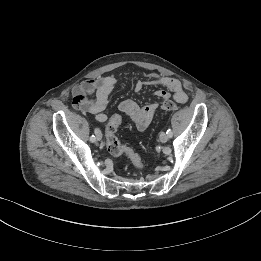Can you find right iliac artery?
Returning <instances> with one entry per match:
<instances>
[{"label":"right iliac artery","instance_id":"right-iliac-artery-1","mask_svg":"<svg viewBox=\"0 0 261 261\" xmlns=\"http://www.w3.org/2000/svg\"><path fill=\"white\" fill-rule=\"evenodd\" d=\"M96 131H97V129L95 130V132H96ZM95 140H96L95 136L92 135V136L90 137V141H91V142H95Z\"/></svg>","mask_w":261,"mask_h":261}]
</instances>
